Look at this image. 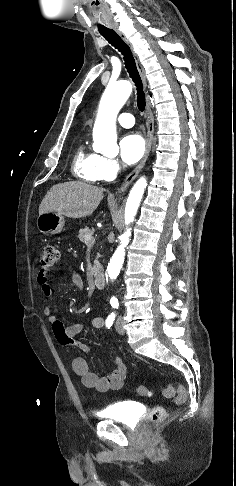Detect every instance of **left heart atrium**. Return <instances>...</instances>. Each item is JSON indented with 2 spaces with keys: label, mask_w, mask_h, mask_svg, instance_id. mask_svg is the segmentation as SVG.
<instances>
[{
  "label": "left heart atrium",
  "mask_w": 236,
  "mask_h": 486,
  "mask_svg": "<svg viewBox=\"0 0 236 486\" xmlns=\"http://www.w3.org/2000/svg\"><path fill=\"white\" fill-rule=\"evenodd\" d=\"M144 151V140L136 133H129L120 140V155L122 160L128 165L139 161Z\"/></svg>",
  "instance_id": "39dd6f15"
}]
</instances>
